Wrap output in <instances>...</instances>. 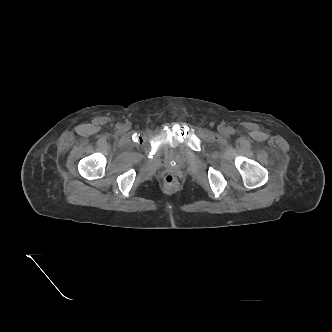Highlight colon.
<instances>
[{
    "label": "colon",
    "mask_w": 332,
    "mask_h": 332,
    "mask_svg": "<svg viewBox=\"0 0 332 332\" xmlns=\"http://www.w3.org/2000/svg\"><path fill=\"white\" fill-rule=\"evenodd\" d=\"M164 187L170 191L175 190L178 187L177 178L172 174L166 175L164 177Z\"/></svg>",
    "instance_id": "obj_1"
}]
</instances>
